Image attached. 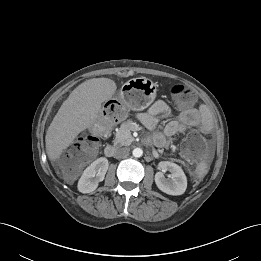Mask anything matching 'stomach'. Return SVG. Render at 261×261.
Here are the masks:
<instances>
[{"label":"stomach","instance_id":"0dacf381","mask_svg":"<svg viewBox=\"0 0 261 261\" xmlns=\"http://www.w3.org/2000/svg\"><path fill=\"white\" fill-rule=\"evenodd\" d=\"M155 96L156 86L151 80L133 78L122 86L119 101L128 110L140 111L148 107Z\"/></svg>","mask_w":261,"mask_h":261}]
</instances>
